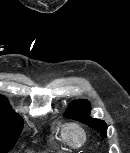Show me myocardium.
<instances>
[{
  "label": "myocardium",
  "instance_id": "myocardium-1",
  "mask_svg": "<svg viewBox=\"0 0 130 153\" xmlns=\"http://www.w3.org/2000/svg\"><path fill=\"white\" fill-rule=\"evenodd\" d=\"M64 132L68 143L72 147H80L86 142L87 132L79 122L71 121L66 123L64 126ZM75 134L79 136L78 140H75Z\"/></svg>",
  "mask_w": 130,
  "mask_h": 153
}]
</instances>
